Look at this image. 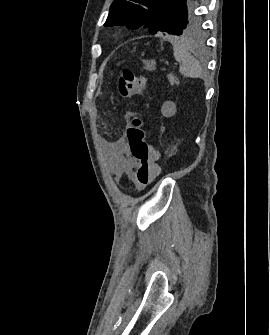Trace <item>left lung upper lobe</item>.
<instances>
[{"mask_svg": "<svg viewBox=\"0 0 270 335\" xmlns=\"http://www.w3.org/2000/svg\"><path fill=\"white\" fill-rule=\"evenodd\" d=\"M192 0H114L104 26H143L158 32L187 36L197 32L200 22Z\"/></svg>", "mask_w": 270, "mask_h": 335, "instance_id": "5c2ea615", "label": "left lung upper lobe"}]
</instances>
